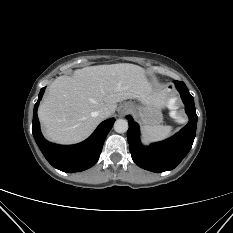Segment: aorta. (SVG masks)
Listing matches in <instances>:
<instances>
[{
	"instance_id": "762f6f07",
	"label": "aorta",
	"mask_w": 233,
	"mask_h": 233,
	"mask_svg": "<svg viewBox=\"0 0 233 233\" xmlns=\"http://www.w3.org/2000/svg\"><path fill=\"white\" fill-rule=\"evenodd\" d=\"M114 130L117 133H125L128 130V122L125 119H118L114 123Z\"/></svg>"
}]
</instances>
